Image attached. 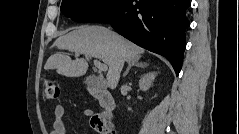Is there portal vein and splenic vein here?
I'll return each instance as SVG.
<instances>
[{"mask_svg":"<svg viewBox=\"0 0 239 134\" xmlns=\"http://www.w3.org/2000/svg\"><path fill=\"white\" fill-rule=\"evenodd\" d=\"M94 65L100 70V71H107L108 67L106 64L101 63L99 60H94Z\"/></svg>","mask_w":239,"mask_h":134,"instance_id":"portal-vein-and-splenic-vein-1","label":"portal vein and splenic vein"}]
</instances>
